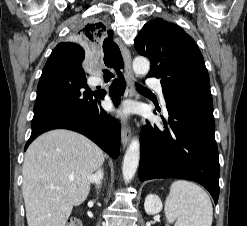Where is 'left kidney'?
Instances as JSON below:
<instances>
[{"label":"left kidney","mask_w":247,"mask_h":226,"mask_svg":"<svg viewBox=\"0 0 247 226\" xmlns=\"http://www.w3.org/2000/svg\"><path fill=\"white\" fill-rule=\"evenodd\" d=\"M144 209L148 215H154L159 213L162 210L161 199L154 194L147 195L144 202Z\"/></svg>","instance_id":"obj_1"}]
</instances>
